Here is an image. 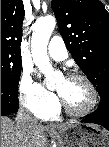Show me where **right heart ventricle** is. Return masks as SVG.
Returning a JSON list of instances; mask_svg holds the SVG:
<instances>
[{
    "label": "right heart ventricle",
    "instance_id": "1",
    "mask_svg": "<svg viewBox=\"0 0 109 147\" xmlns=\"http://www.w3.org/2000/svg\"><path fill=\"white\" fill-rule=\"evenodd\" d=\"M60 111H61L60 108L54 107L52 109L39 113L37 116L38 117L43 116L45 120H49V119L57 118L58 115L60 114Z\"/></svg>",
    "mask_w": 109,
    "mask_h": 147
}]
</instances>
